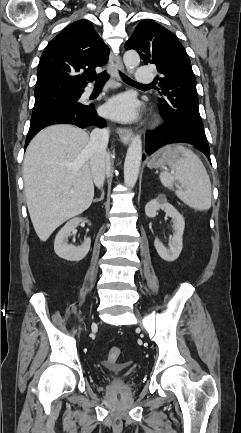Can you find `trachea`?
<instances>
[{
  "label": "trachea",
  "mask_w": 241,
  "mask_h": 433,
  "mask_svg": "<svg viewBox=\"0 0 241 433\" xmlns=\"http://www.w3.org/2000/svg\"><path fill=\"white\" fill-rule=\"evenodd\" d=\"M119 74H120L121 78H122L126 83L133 84V85H141V86H148V85H151V84H148V85L140 84V83H138V82H136V81L130 79L129 77H127V76H126L125 74H123L122 72H119ZM94 79H95V85H103V84H104V83L109 79V74H108L107 72H102V73H100V74H98V75H95V76H94Z\"/></svg>",
  "instance_id": "3493384b"
}]
</instances>
